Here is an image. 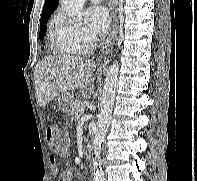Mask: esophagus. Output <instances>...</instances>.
<instances>
[{"instance_id": "obj_1", "label": "esophagus", "mask_w": 197, "mask_h": 181, "mask_svg": "<svg viewBox=\"0 0 197 181\" xmlns=\"http://www.w3.org/2000/svg\"><path fill=\"white\" fill-rule=\"evenodd\" d=\"M118 4L119 0H114V5H113V23H112V28L110 30V33L105 41V44L103 46L102 52L104 55H108L110 51L113 48V44L117 35V30H118Z\"/></svg>"}]
</instances>
